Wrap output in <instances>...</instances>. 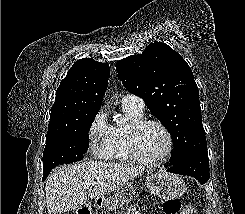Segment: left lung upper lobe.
I'll list each match as a JSON object with an SVG mask.
<instances>
[{
    "label": "left lung upper lobe",
    "mask_w": 245,
    "mask_h": 214,
    "mask_svg": "<svg viewBox=\"0 0 245 214\" xmlns=\"http://www.w3.org/2000/svg\"><path fill=\"white\" fill-rule=\"evenodd\" d=\"M116 69L124 87L141 97L169 131L174 144L172 165L207 151L198 87L178 52L154 42L142 54L118 61Z\"/></svg>",
    "instance_id": "left-lung-upper-lobe-1"
}]
</instances>
